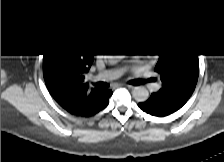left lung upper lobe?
Wrapping results in <instances>:
<instances>
[{
    "label": "left lung upper lobe",
    "instance_id": "5c2ea615",
    "mask_svg": "<svg viewBox=\"0 0 224 162\" xmlns=\"http://www.w3.org/2000/svg\"><path fill=\"white\" fill-rule=\"evenodd\" d=\"M155 71L160 74L159 94L188 99L196 86L199 62L196 53L180 42L165 44Z\"/></svg>",
    "mask_w": 224,
    "mask_h": 162
}]
</instances>
